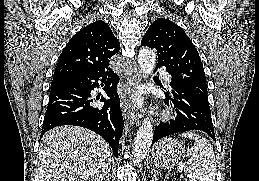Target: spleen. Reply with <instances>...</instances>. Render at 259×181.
Listing matches in <instances>:
<instances>
[{
	"mask_svg": "<svg viewBox=\"0 0 259 181\" xmlns=\"http://www.w3.org/2000/svg\"><path fill=\"white\" fill-rule=\"evenodd\" d=\"M180 136L194 140V145L187 154L189 160L184 167L189 181H216V160L211 143L192 132L182 133Z\"/></svg>",
	"mask_w": 259,
	"mask_h": 181,
	"instance_id": "3e777b00",
	"label": "spleen"
}]
</instances>
